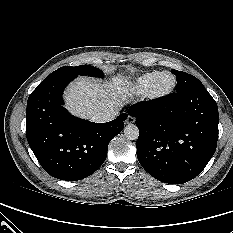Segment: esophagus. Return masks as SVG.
I'll list each match as a JSON object with an SVG mask.
<instances>
[{
	"label": "esophagus",
	"instance_id": "esophagus-1",
	"mask_svg": "<svg viewBox=\"0 0 233 233\" xmlns=\"http://www.w3.org/2000/svg\"><path fill=\"white\" fill-rule=\"evenodd\" d=\"M134 122H135V118L132 117V116H130V115H128L127 118H126L125 123H126V124H132V123H134Z\"/></svg>",
	"mask_w": 233,
	"mask_h": 233
}]
</instances>
